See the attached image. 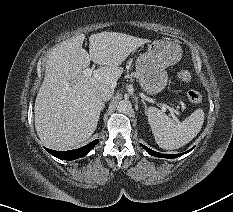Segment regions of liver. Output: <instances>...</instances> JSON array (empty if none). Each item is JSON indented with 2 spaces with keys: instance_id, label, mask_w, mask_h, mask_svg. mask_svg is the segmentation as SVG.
<instances>
[{
  "instance_id": "liver-1",
  "label": "liver",
  "mask_w": 233,
  "mask_h": 212,
  "mask_svg": "<svg viewBox=\"0 0 233 212\" xmlns=\"http://www.w3.org/2000/svg\"><path fill=\"white\" fill-rule=\"evenodd\" d=\"M84 34L54 47L46 62L45 77L36 97L35 129L40 140L54 150L78 147L94 133L104 102L97 94L112 89L123 73L122 62L150 40L118 32L89 37V54L83 49ZM90 61L100 65L92 76L83 69Z\"/></svg>"
}]
</instances>
